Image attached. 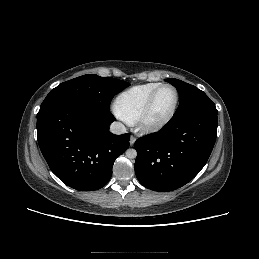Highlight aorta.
<instances>
[{"label": "aorta", "instance_id": "762f6f07", "mask_svg": "<svg viewBox=\"0 0 259 259\" xmlns=\"http://www.w3.org/2000/svg\"><path fill=\"white\" fill-rule=\"evenodd\" d=\"M126 156H127L128 158H130V159H134V158H136V156H137V152H136L135 149H128V150L126 151Z\"/></svg>", "mask_w": 259, "mask_h": 259}]
</instances>
